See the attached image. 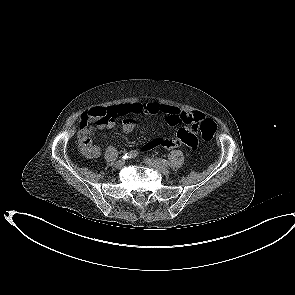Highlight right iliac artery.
Returning <instances> with one entry per match:
<instances>
[{"label": "right iliac artery", "instance_id": "82829eb1", "mask_svg": "<svg viewBox=\"0 0 295 295\" xmlns=\"http://www.w3.org/2000/svg\"><path fill=\"white\" fill-rule=\"evenodd\" d=\"M138 155V152L136 150L134 151H130L129 153H126L123 155V159H130V158H134Z\"/></svg>", "mask_w": 295, "mask_h": 295}]
</instances>
